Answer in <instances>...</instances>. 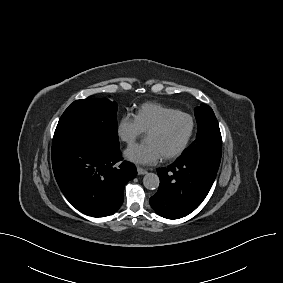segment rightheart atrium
Returning a JSON list of instances; mask_svg holds the SVG:
<instances>
[{
    "label": "right heart atrium",
    "mask_w": 283,
    "mask_h": 283,
    "mask_svg": "<svg viewBox=\"0 0 283 283\" xmlns=\"http://www.w3.org/2000/svg\"><path fill=\"white\" fill-rule=\"evenodd\" d=\"M144 131L142 130L136 116L132 113L123 114L117 122V134L121 141L131 145Z\"/></svg>",
    "instance_id": "right-heart-atrium-1"
}]
</instances>
